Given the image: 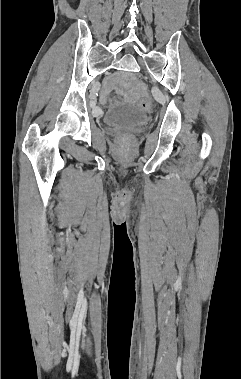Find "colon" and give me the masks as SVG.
Wrapping results in <instances>:
<instances>
[{"label": "colon", "mask_w": 241, "mask_h": 379, "mask_svg": "<svg viewBox=\"0 0 241 379\" xmlns=\"http://www.w3.org/2000/svg\"><path fill=\"white\" fill-rule=\"evenodd\" d=\"M142 102L140 103V106L143 108H149L151 104V99L149 94H142L141 95Z\"/></svg>", "instance_id": "obj_1"}]
</instances>
